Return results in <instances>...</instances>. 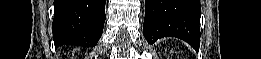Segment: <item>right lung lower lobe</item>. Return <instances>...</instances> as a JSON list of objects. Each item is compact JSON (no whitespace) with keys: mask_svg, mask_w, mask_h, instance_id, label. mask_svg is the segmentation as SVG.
I'll use <instances>...</instances> for the list:
<instances>
[{"mask_svg":"<svg viewBox=\"0 0 261 59\" xmlns=\"http://www.w3.org/2000/svg\"><path fill=\"white\" fill-rule=\"evenodd\" d=\"M106 0H54L55 46L93 47L101 37Z\"/></svg>","mask_w":261,"mask_h":59,"instance_id":"98d812e1","label":"right lung lower lobe"}]
</instances>
